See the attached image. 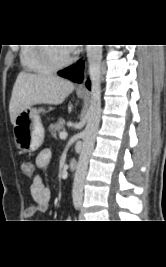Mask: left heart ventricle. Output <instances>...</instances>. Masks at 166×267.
<instances>
[{"instance_id": "b2bd125f", "label": "left heart ventricle", "mask_w": 166, "mask_h": 267, "mask_svg": "<svg viewBox=\"0 0 166 267\" xmlns=\"http://www.w3.org/2000/svg\"><path fill=\"white\" fill-rule=\"evenodd\" d=\"M51 50L59 61H64L70 56V51L65 46H51Z\"/></svg>"}]
</instances>
